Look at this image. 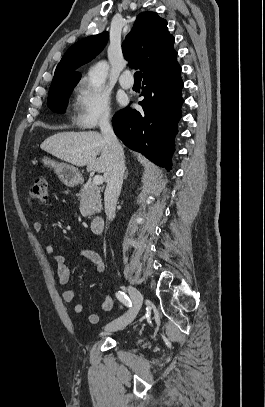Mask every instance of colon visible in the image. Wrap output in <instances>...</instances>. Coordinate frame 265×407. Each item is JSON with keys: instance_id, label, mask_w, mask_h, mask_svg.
Segmentation results:
<instances>
[{"instance_id": "5ec220e1", "label": "colon", "mask_w": 265, "mask_h": 407, "mask_svg": "<svg viewBox=\"0 0 265 407\" xmlns=\"http://www.w3.org/2000/svg\"><path fill=\"white\" fill-rule=\"evenodd\" d=\"M30 197L40 202L48 199V184L45 178H37L34 181L30 189Z\"/></svg>"}]
</instances>
